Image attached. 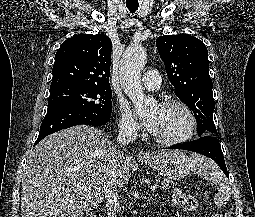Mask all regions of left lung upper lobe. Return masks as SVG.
Returning a JSON list of instances; mask_svg holds the SVG:
<instances>
[{
  "label": "left lung upper lobe",
  "instance_id": "left-lung-upper-lobe-1",
  "mask_svg": "<svg viewBox=\"0 0 255 217\" xmlns=\"http://www.w3.org/2000/svg\"><path fill=\"white\" fill-rule=\"evenodd\" d=\"M156 46L176 96L196 117L198 136L216 135L213 84L204 43L191 35L179 34L158 37Z\"/></svg>",
  "mask_w": 255,
  "mask_h": 217
}]
</instances>
